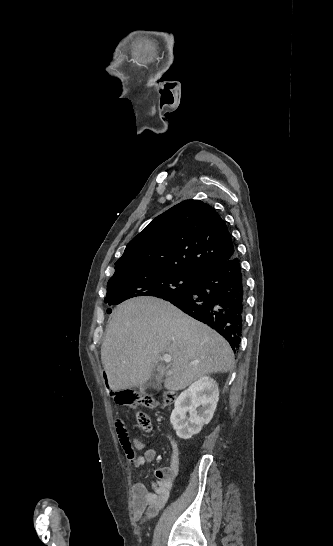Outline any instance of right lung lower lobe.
Masks as SVG:
<instances>
[{
    "instance_id": "obj_1",
    "label": "right lung lower lobe",
    "mask_w": 333,
    "mask_h": 546,
    "mask_svg": "<svg viewBox=\"0 0 333 546\" xmlns=\"http://www.w3.org/2000/svg\"><path fill=\"white\" fill-rule=\"evenodd\" d=\"M163 299L215 329L238 352L246 297L237 254L200 274L188 292Z\"/></svg>"
}]
</instances>
